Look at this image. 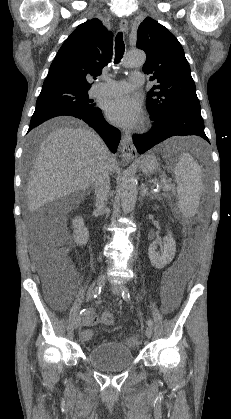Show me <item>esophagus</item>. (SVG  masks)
I'll return each mask as SVG.
<instances>
[{"mask_svg":"<svg viewBox=\"0 0 231 419\" xmlns=\"http://www.w3.org/2000/svg\"><path fill=\"white\" fill-rule=\"evenodd\" d=\"M120 29L127 33L128 31V22L126 19L120 21ZM120 152L121 156L125 160H132L137 156V150L132 142L131 135L128 131L122 133L121 143H120Z\"/></svg>","mask_w":231,"mask_h":419,"instance_id":"esophagus-1","label":"esophagus"}]
</instances>
